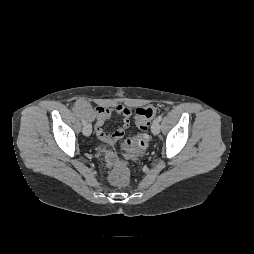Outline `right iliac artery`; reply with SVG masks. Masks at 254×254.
<instances>
[{
	"label": "right iliac artery",
	"instance_id": "right-iliac-artery-1",
	"mask_svg": "<svg viewBox=\"0 0 254 254\" xmlns=\"http://www.w3.org/2000/svg\"><path fill=\"white\" fill-rule=\"evenodd\" d=\"M82 124L85 125V124H86V121H85V120H82Z\"/></svg>",
	"mask_w": 254,
	"mask_h": 254
}]
</instances>
